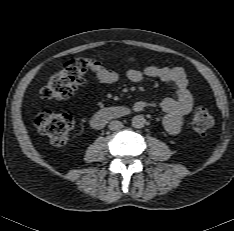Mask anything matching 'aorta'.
I'll list each match as a JSON object with an SVG mask.
<instances>
[{
    "label": "aorta",
    "mask_w": 234,
    "mask_h": 231,
    "mask_svg": "<svg viewBox=\"0 0 234 231\" xmlns=\"http://www.w3.org/2000/svg\"><path fill=\"white\" fill-rule=\"evenodd\" d=\"M132 125L135 128H142L145 125V118L142 115H136L132 118Z\"/></svg>",
    "instance_id": "762f6f07"
}]
</instances>
